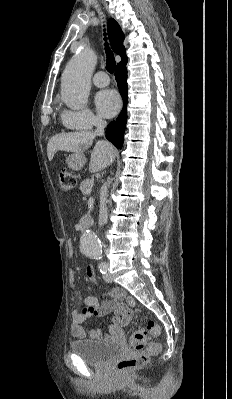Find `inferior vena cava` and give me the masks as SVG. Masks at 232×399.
Wrapping results in <instances>:
<instances>
[{
	"label": "inferior vena cava",
	"instance_id": "obj_1",
	"mask_svg": "<svg viewBox=\"0 0 232 399\" xmlns=\"http://www.w3.org/2000/svg\"><path fill=\"white\" fill-rule=\"evenodd\" d=\"M94 126H96L95 130L96 136H104V130L106 126L105 120H94ZM102 190H103V196L100 201L99 225H103V223H106L107 221V205H106L107 182H105Z\"/></svg>",
	"mask_w": 232,
	"mask_h": 399
}]
</instances>
